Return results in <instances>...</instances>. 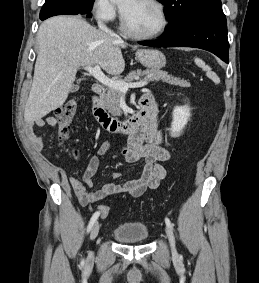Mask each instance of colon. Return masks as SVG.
<instances>
[{"label":"colon","instance_id":"5ec220e1","mask_svg":"<svg viewBox=\"0 0 259 283\" xmlns=\"http://www.w3.org/2000/svg\"><path fill=\"white\" fill-rule=\"evenodd\" d=\"M78 111V101L75 98L68 99L56 112V122L58 125V137L61 140L67 139L73 119ZM110 208L107 205L100 207L99 213L105 218L109 214Z\"/></svg>","mask_w":259,"mask_h":283}]
</instances>
